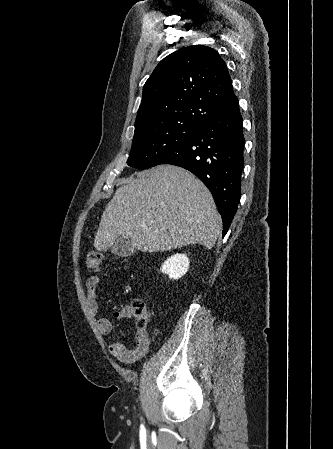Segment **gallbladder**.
Instances as JSON below:
<instances>
[{"instance_id":"bac80fb5","label":"gallbladder","mask_w":333,"mask_h":449,"mask_svg":"<svg viewBox=\"0 0 333 449\" xmlns=\"http://www.w3.org/2000/svg\"><path fill=\"white\" fill-rule=\"evenodd\" d=\"M112 252L120 257L130 256L136 252V247L127 238H120L112 247Z\"/></svg>"}]
</instances>
